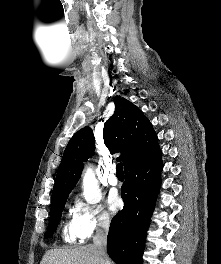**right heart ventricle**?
Instances as JSON below:
<instances>
[{
  "label": "right heart ventricle",
  "mask_w": 221,
  "mask_h": 264,
  "mask_svg": "<svg viewBox=\"0 0 221 264\" xmlns=\"http://www.w3.org/2000/svg\"><path fill=\"white\" fill-rule=\"evenodd\" d=\"M62 237L67 243H74L79 237L77 236L73 224L66 223L63 227Z\"/></svg>",
  "instance_id": "right-heart-ventricle-1"
}]
</instances>
